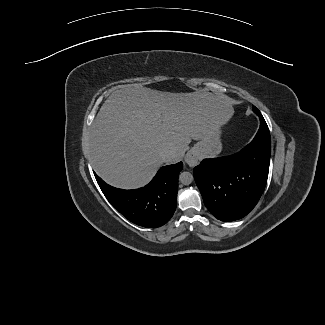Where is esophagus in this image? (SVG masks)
<instances>
[{
    "instance_id": "1",
    "label": "esophagus",
    "mask_w": 325,
    "mask_h": 325,
    "mask_svg": "<svg viewBox=\"0 0 325 325\" xmlns=\"http://www.w3.org/2000/svg\"><path fill=\"white\" fill-rule=\"evenodd\" d=\"M185 162L190 166L194 167L198 164V154L194 149H191L187 152L185 156Z\"/></svg>"
}]
</instances>
